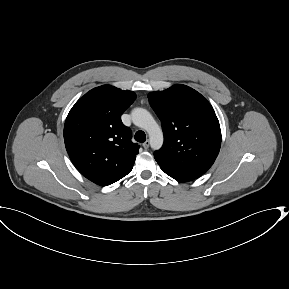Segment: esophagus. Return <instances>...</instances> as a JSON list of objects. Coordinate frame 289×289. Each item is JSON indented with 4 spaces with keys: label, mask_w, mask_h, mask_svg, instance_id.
Segmentation results:
<instances>
[{
    "label": "esophagus",
    "mask_w": 289,
    "mask_h": 289,
    "mask_svg": "<svg viewBox=\"0 0 289 289\" xmlns=\"http://www.w3.org/2000/svg\"><path fill=\"white\" fill-rule=\"evenodd\" d=\"M149 145H150V141H149V140L145 141V142L142 144V146L144 147V149H148V148H149Z\"/></svg>",
    "instance_id": "obj_1"
}]
</instances>
